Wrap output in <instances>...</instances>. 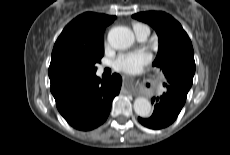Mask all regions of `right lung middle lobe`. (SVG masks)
<instances>
[{
  "mask_svg": "<svg viewBox=\"0 0 230 155\" xmlns=\"http://www.w3.org/2000/svg\"><path fill=\"white\" fill-rule=\"evenodd\" d=\"M104 49L88 54H68L59 57L49 67V77H70L96 73L95 65L101 62Z\"/></svg>",
  "mask_w": 230,
  "mask_h": 155,
  "instance_id": "right-lung-middle-lobe-1",
  "label": "right lung middle lobe"
}]
</instances>
